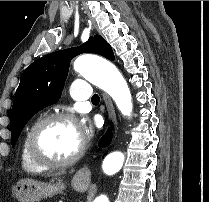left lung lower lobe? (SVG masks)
<instances>
[{
	"mask_svg": "<svg viewBox=\"0 0 209 202\" xmlns=\"http://www.w3.org/2000/svg\"><path fill=\"white\" fill-rule=\"evenodd\" d=\"M111 139H112V133H111V130H108L107 133L100 140L99 145L101 147L108 146L111 142Z\"/></svg>",
	"mask_w": 209,
	"mask_h": 202,
	"instance_id": "1",
	"label": "left lung lower lobe"
}]
</instances>
